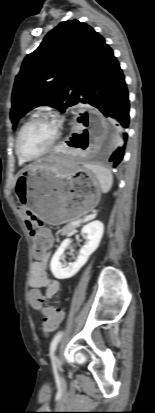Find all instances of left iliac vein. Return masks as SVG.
<instances>
[{"label":"left iliac vein","instance_id":"1","mask_svg":"<svg viewBox=\"0 0 155 413\" xmlns=\"http://www.w3.org/2000/svg\"><path fill=\"white\" fill-rule=\"evenodd\" d=\"M54 365L58 370H61V361L58 355L55 356Z\"/></svg>","mask_w":155,"mask_h":413}]
</instances>
